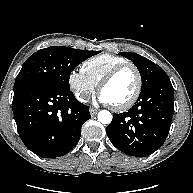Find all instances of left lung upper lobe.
Listing matches in <instances>:
<instances>
[{
	"mask_svg": "<svg viewBox=\"0 0 193 193\" xmlns=\"http://www.w3.org/2000/svg\"><path fill=\"white\" fill-rule=\"evenodd\" d=\"M119 54L131 60L138 68L142 79V90L147 88L160 76L166 75L164 70L159 65L139 54L130 52H120Z\"/></svg>",
	"mask_w": 193,
	"mask_h": 193,
	"instance_id": "1",
	"label": "left lung upper lobe"
}]
</instances>
